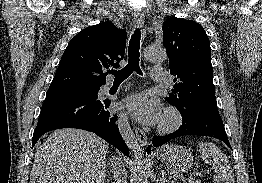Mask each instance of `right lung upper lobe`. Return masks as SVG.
Masks as SVG:
<instances>
[{
    "label": "right lung upper lobe",
    "mask_w": 262,
    "mask_h": 183,
    "mask_svg": "<svg viewBox=\"0 0 262 183\" xmlns=\"http://www.w3.org/2000/svg\"><path fill=\"white\" fill-rule=\"evenodd\" d=\"M127 33L112 22L79 32L68 44L47 92L100 88L124 57ZM109 71V70H107Z\"/></svg>",
    "instance_id": "right-lung-upper-lobe-1"
}]
</instances>
